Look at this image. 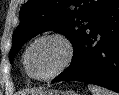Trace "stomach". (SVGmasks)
<instances>
[{"mask_svg": "<svg viewBox=\"0 0 119 95\" xmlns=\"http://www.w3.org/2000/svg\"><path fill=\"white\" fill-rule=\"evenodd\" d=\"M40 95H78V94L72 91L48 90L41 93Z\"/></svg>", "mask_w": 119, "mask_h": 95, "instance_id": "obj_1", "label": "stomach"}]
</instances>
